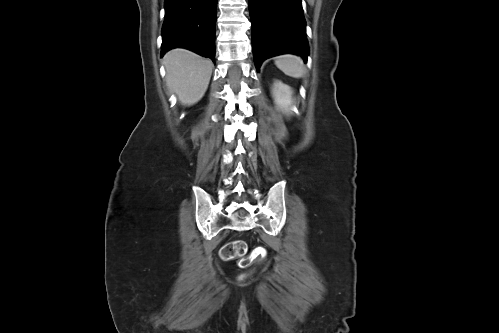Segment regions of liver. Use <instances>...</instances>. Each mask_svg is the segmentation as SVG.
Masks as SVG:
<instances>
[{
    "label": "liver",
    "instance_id": "6515ba94",
    "mask_svg": "<svg viewBox=\"0 0 499 333\" xmlns=\"http://www.w3.org/2000/svg\"><path fill=\"white\" fill-rule=\"evenodd\" d=\"M166 83L182 105H193L205 94L213 64L186 49H173L163 58Z\"/></svg>",
    "mask_w": 499,
    "mask_h": 333
}]
</instances>
